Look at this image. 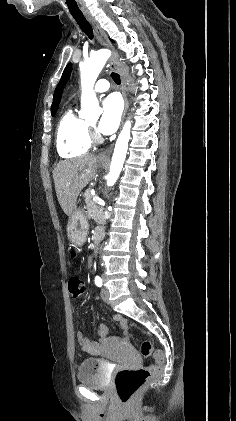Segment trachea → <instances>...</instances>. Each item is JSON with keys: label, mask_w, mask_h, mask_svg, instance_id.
Segmentation results:
<instances>
[{"label": "trachea", "mask_w": 236, "mask_h": 421, "mask_svg": "<svg viewBox=\"0 0 236 421\" xmlns=\"http://www.w3.org/2000/svg\"><path fill=\"white\" fill-rule=\"evenodd\" d=\"M73 17L78 23L81 30L85 33V35H87V37H89L90 40H92L94 36L93 29L90 23L86 20V18L83 15H78V16L73 15ZM111 77L114 80V82L117 83V85H120L121 78L118 75V73H111Z\"/></svg>", "instance_id": "1"}]
</instances>
